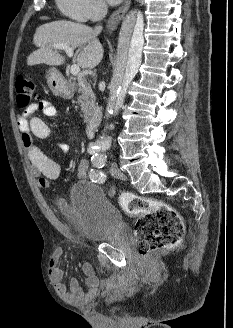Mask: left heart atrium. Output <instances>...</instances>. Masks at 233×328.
Here are the masks:
<instances>
[{
  "label": "left heart atrium",
  "mask_w": 233,
  "mask_h": 328,
  "mask_svg": "<svg viewBox=\"0 0 233 328\" xmlns=\"http://www.w3.org/2000/svg\"><path fill=\"white\" fill-rule=\"evenodd\" d=\"M110 5H117L120 3L122 0H107Z\"/></svg>",
  "instance_id": "39dd6f15"
}]
</instances>
